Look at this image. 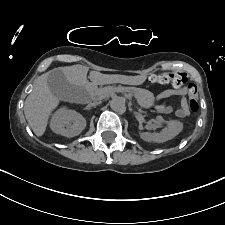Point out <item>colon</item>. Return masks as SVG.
Wrapping results in <instances>:
<instances>
[{
  "label": "colon",
  "instance_id": "5ec220e1",
  "mask_svg": "<svg viewBox=\"0 0 225 225\" xmlns=\"http://www.w3.org/2000/svg\"><path fill=\"white\" fill-rule=\"evenodd\" d=\"M148 80L154 84H172L176 88H183L188 85V79L183 73H162L151 74ZM188 104L192 112H197L199 109L198 91L193 84L188 85Z\"/></svg>",
  "mask_w": 225,
  "mask_h": 225
}]
</instances>
